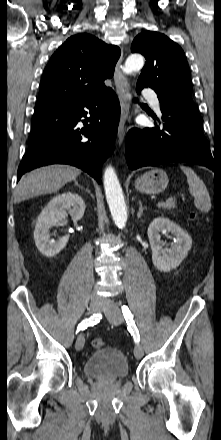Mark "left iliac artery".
Returning <instances> with one entry per match:
<instances>
[{"label":"left iliac artery","mask_w":221,"mask_h":440,"mask_svg":"<svg viewBox=\"0 0 221 440\" xmlns=\"http://www.w3.org/2000/svg\"><path fill=\"white\" fill-rule=\"evenodd\" d=\"M122 312H123L124 318L128 324V330L133 335L135 342H139L140 335H139L138 329L135 325V322L133 320L132 313L130 312L129 308L125 305L122 306Z\"/></svg>","instance_id":"1"}]
</instances>
